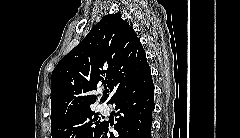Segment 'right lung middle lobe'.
<instances>
[{
  "mask_svg": "<svg viewBox=\"0 0 240 138\" xmlns=\"http://www.w3.org/2000/svg\"><path fill=\"white\" fill-rule=\"evenodd\" d=\"M104 121L91 109L78 115L51 124L52 138H94L103 126Z\"/></svg>",
  "mask_w": 240,
  "mask_h": 138,
  "instance_id": "dd1d6c3e",
  "label": "right lung middle lobe"
}]
</instances>
